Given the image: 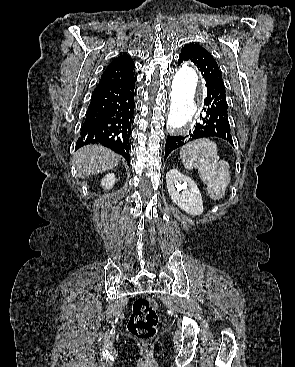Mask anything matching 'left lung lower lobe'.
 Returning a JSON list of instances; mask_svg holds the SVG:
<instances>
[{
    "instance_id": "1",
    "label": "left lung lower lobe",
    "mask_w": 295,
    "mask_h": 367,
    "mask_svg": "<svg viewBox=\"0 0 295 367\" xmlns=\"http://www.w3.org/2000/svg\"><path fill=\"white\" fill-rule=\"evenodd\" d=\"M183 61L179 60L178 65ZM207 97L204 100L203 113L200 122L187 136H168L165 145V157L173 150L183 146L186 142L204 137H219L233 145L230 124L228 121V105L225 87L221 80L208 77L205 79ZM189 137L188 141L185 140Z\"/></svg>"
}]
</instances>
